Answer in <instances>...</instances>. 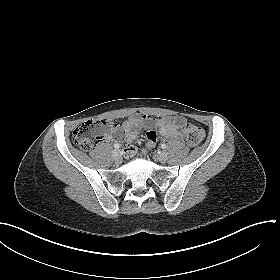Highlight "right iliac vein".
Instances as JSON below:
<instances>
[{
  "instance_id": "right-iliac-vein-1",
  "label": "right iliac vein",
  "mask_w": 280,
  "mask_h": 280,
  "mask_svg": "<svg viewBox=\"0 0 280 280\" xmlns=\"http://www.w3.org/2000/svg\"><path fill=\"white\" fill-rule=\"evenodd\" d=\"M113 158H114L115 162H117V163H120L122 161L120 150L113 151Z\"/></svg>"
}]
</instances>
